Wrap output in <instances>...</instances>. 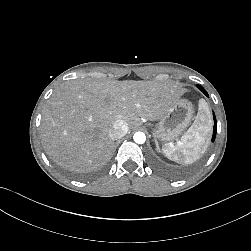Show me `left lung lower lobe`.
Returning <instances> with one entry per match:
<instances>
[{
    "mask_svg": "<svg viewBox=\"0 0 251 251\" xmlns=\"http://www.w3.org/2000/svg\"><path fill=\"white\" fill-rule=\"evenodd\" d=\"M213 119H214L215 124L213 126V135H212V139H211L212 142H214L215 137H216V132H217L216 116H215L214 113H213ZM159 172L169 174V175H177L178 174L176 171L175 172H170L168 169L166 171L159 170Z\"/></svg>",
    "mask_w": 251,
    "mask_h": 251,
    "instance_id": "0a47b994",
    "label": "left lung lower lobe"
}]
</instances>
